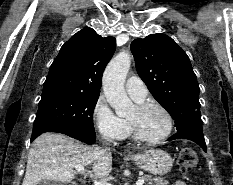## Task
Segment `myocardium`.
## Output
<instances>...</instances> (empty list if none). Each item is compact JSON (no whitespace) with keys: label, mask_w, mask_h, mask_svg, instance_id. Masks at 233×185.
I'll list each match as a JSON object with an SVG mask.
<instances>
[{"label":"myocardium","mask_w":233,"mask_h":185,"mask_svg":"<svg viewBox=\"0 0 233 185\" xmlns=\"http://www.w3.org/2000/svg\"><path fill=\"white\" fill-rule=\"evenodd\" d=\"M136 108L138 109V111H144L148 108H157L164 113V115L167 118V122H168L167 130L162 136L158 138L150 139L141 134V132L139 131L134 121L128 119L133 137L137 141L148 144V145H156V144L162 143L163 141H165L166 139L170 137L174 129V120H173L172 114L164 105L158 102H155V101H141V102H138Z\"/></svg>","instance_id":"myocardium-1"}]
</instances>
